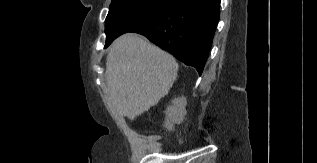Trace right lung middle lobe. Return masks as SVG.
Here are the masks:
<instances>
[{
    "label": "right lung middle lobe",
    "instance_id": "1",
    "mask_svg": "<svg viewBox=\"0 0 317 163\" xmlns=\"http://www.w3.org/2000/svg\"><path fill=\"white\" fill-rule=\"evenodd\" d=\"M172 0H112L105 20L106 44L147 22L163 11Z\"/></svg>",
    "mask_w": 317,
    "mask_h": 163
}]
</instances>
